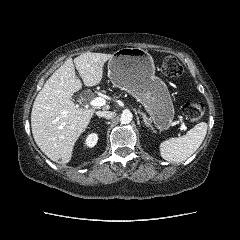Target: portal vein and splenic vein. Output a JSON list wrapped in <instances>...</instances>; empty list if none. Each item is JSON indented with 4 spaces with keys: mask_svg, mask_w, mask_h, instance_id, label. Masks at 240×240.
Here are the masks:
<instances>
[{
    "mask_svg": "<svg viewBox=\"0 0 240 240\" xmlns=\"http://www.w3.org/2000/svg\"><path fill=\"white\" fill-rule=\"evenodd\" d=\"M105 99L101 97H96L90 101V105L93 107H101L105 105ZM181 131H186L187 127L185 126L184 123L181 122L180 128Z\"/></svg>",
    "mask_w": 240,
    "mask_h": 240,
    "instance_id": "portal-vein-and-splenic-vein-1",
    "label": "portal vein and splenic vein"
}]
</instances>
